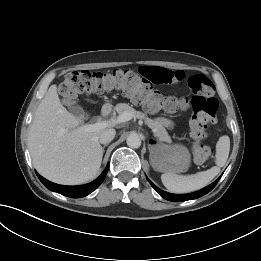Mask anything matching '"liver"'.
I'll use <instances>...</instances> for the list:
<instances>
[{
	"label": "liver",
	"mask_w": 261,
	"mask_h": 261,
	"mask_svg": "<svg viewBox=\"0 0 261 261\" xmlns=\"http://www.w3.org/2000/svg\"><path fill=\"white\" fill-rule=\"evenodd\" d=\"M82 121L62 106L57 86L51 85L35 112L28 133L33 165L46 179L78 185L97 176L103 156L99 143L103 130H82Z\"/></svg>",
	"instance_id": "obj_1"
}]
</instances>
